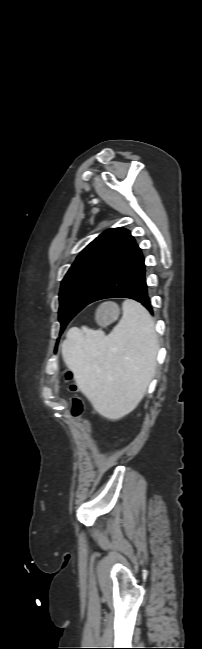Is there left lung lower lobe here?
Here are the masks:
<instances>
[{
	"instance_id": "0a47b994",
	"label": "left lung lower lobe",
	"mask_w": 202,
	"mask_h": 649,
	"mask_svg": "<svg viewBox=\"0 0 202 649\" xmlns=\"http://www.w3.org/2000/svg\"><path fill=\"white\" fill-rule=\"evenodd\" d=\"M145 274L144 256L139 246L134 243L121 263L98 289L90 303L106 298H130L140 302L152 314Z\"/></svg>"
}]
</instances>
